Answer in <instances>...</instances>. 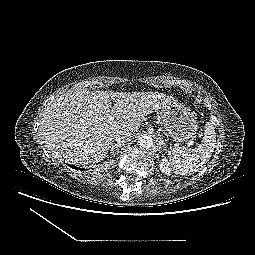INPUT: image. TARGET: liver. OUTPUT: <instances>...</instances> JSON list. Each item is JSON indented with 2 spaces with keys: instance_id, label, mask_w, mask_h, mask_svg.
<instances>
[{
  "instance_id": "1",
  "label": "liver",
  "mask_w": 255,
  "mask_h": 255,
  "mask_svg": "<svg viewBox=\"0 0 255 255\" xmlns=\"http://www.w3.org/2000/svg\"><path fill=\"white\" fill-rule=\"evenodd\" d=\"M171 101V96L152 91L67 92L44 111L39 135L55 158L80 165L98 163L107 156L118 131H138L145 116Z\"/></svg>"
}]
</instances>
